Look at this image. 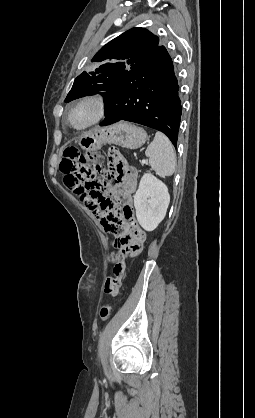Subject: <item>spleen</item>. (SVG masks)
<instances>
[{"label":"spleen","instance_id":"spleen-1","mask_svg":"<svg viewBox=\"0 0 255 418\" xmlns=\"http://www.w3.org/2000/svg\"><path fill=\"white\" fill-rule=\"evenodd\" d=\"M145 154L151 169L160 177L165 178L175 172L176 154L170 140L163 133L156 132Z\"/></svg>","mask_w":255,"mask_h":418}]
</instances>
